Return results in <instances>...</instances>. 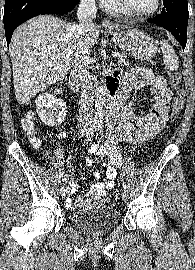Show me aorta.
Returning <instances> with one entry per match:
<instances>
[{
	"label": "aorta",
	"mask_w": 195,
	"mask_h": 270,
	"mask_svg": "<svg viewBox=\"0 0 195 270\" xmlns=\"http://www.w3.org/2000/svg\"><path fill=\"white\" fill-rule=\"evenodd\" d=\"M106 106L105 88L103 85L97 87L96 99H95V116L102 118L104 115V109Z\"/></svg>",
	"instance_id": "1"
}]
</instances>
